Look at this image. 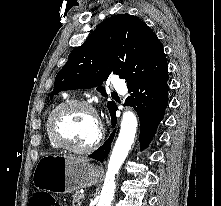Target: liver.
I'll use <instances>...</instances> for the list:
<instances>
[{"instance_id": "liver-1", "label": "liver", "mask_w": 221, "mask_h": 206, "mask_svg": "<svg viewBox=\"0 0 221 206\" xmlns=\"http://www.w3.org/2000/svg\"><path fill=\"white\" fill-rule=\"evenodd\" d=\"M76 159H78V160H80V161H85V162H88V161H89L88 159H79V158H76Z\"/></svg>"}]
</instances>
